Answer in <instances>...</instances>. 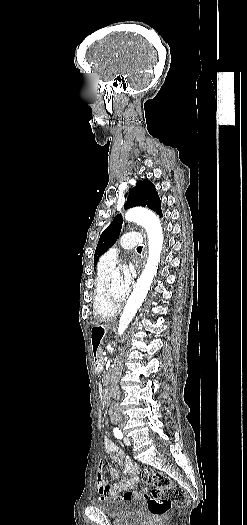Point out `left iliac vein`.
Returning a JSON list of instances; mask_svg holds the SVG:
<instances>
[{
	"mask_svg": "<svg viewBox=\"0 0 247 525\" xmlns=\"http://www.w3.org/2000/svg\"><path fill=\"white\" fill-rule=\"evenodd\" d=\"M123 441H124V443H125L127 446H129V445L131 444V441H130V439H129L128 437H124Z\"/></svg>",
	"mask_w": 247,
	"mask_h": 525,
	"instance_id": "4c4485c4",
	"label": "left iliac vein"
}]
</instances>
